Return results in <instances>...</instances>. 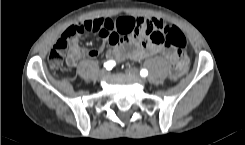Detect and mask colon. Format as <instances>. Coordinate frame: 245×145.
<instances>
[{"mask_svg": "<svg viewBox=\"0 0 245 145\" xmlns=\"http://www.w3.org/2000/svg\"><path fill=\"white\" fill-rule=\"evenodd\" d=\"M89 23L75 24L66 29L62 37L55 43L49 53V64L53 69H59L64 60L67 40L89 28ZM142 36L154 45H167L175 50H182L187 47V40L183 32L175 25H166L162 31L147 27ZM179 73V68L175 63L171 64L170 77L174 78Z\"/></svg>", "mask_w": 245, "mask_h": 145, "instance_id": "1", "label": "colon"}]
</instances>
